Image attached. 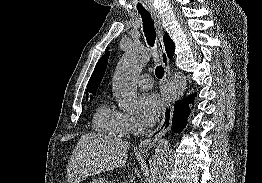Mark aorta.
Masks as SVG:
<instances>
[{
  "label": "aorta",
  "mask_w": 262,
  "mask_h": 183,
  "mask_svg": "<svg viewBox=\"0 0 262 183\" xmlns=\"http://www.w3.org/2000/svg\"><path fill=\"white\" fill-rule=\"evenodd\" d=\"M150 52L143 47H133L125 52L120 60L113 80V95L120 109L134 112L138 109L137 85L135 78L150 60ZM187 80L182 72H176L168 82L164 98L174 103L186 90ZM170 144L167 140L158 141L155 148L153 183H162L169 176L172 167Z\"/></svg>",
  "instance_id": "1"
}]
</instances>
